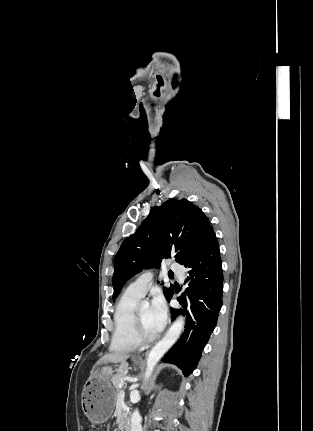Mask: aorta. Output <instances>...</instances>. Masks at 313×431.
Here are the masks:
<instances>
[{"mask_svg": "<svg viewBox=\"0 0 313 431\" xmlns=\"http://www.w3.org/2000/svg\"><path fill=\"white\" fill-rule=\"evenodd\" d=\"M184 328V318L179 316L168 329L165 336L150 350L146 361V378H149L162 356L175 344ZM142 417L136 409L131 416V430L142 431Z\"/></svg>", "mask_w": 313, "mask_h": 431, "instance_id": "aorta-1", "label": "aorta"}]
</instances>
